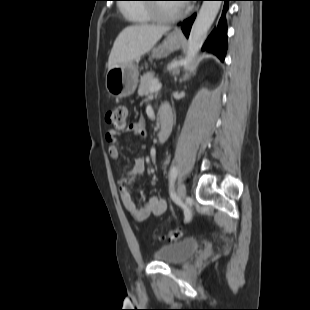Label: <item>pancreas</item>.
<instances>
[{
	"mask_svg": "<svg viewBox=\"0 0 310 310\" xmlns=\"http://www.w3.org/2000/svg\"><path fill=\"white\" fill-rule=\"evenodd\" d=\"M155 83H157V80L154 77V73H146L141 77L138 94L140 96H147L151 94L152 92L150 91V88Z\"/></svg>",
	"mask_w": 310,
	"mask_h": 310,
	"instance_id": "obj_1",
	"label": "pancreas"
}]
</instances>
